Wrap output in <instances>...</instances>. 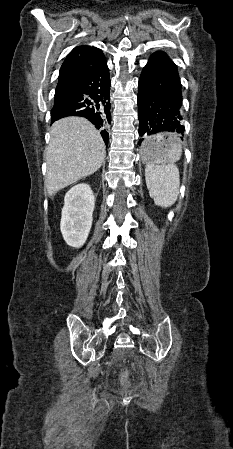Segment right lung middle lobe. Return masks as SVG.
Instances as JSON below:
<instances>
[{"mask_svg": "<svg viewBox=\"0 0 233 449\" xmlns=\"http://www.w3.org/2000/svg\"><path fill=\"white\" fill-rule=\"evenodd\" d=\"M59 96H60V92L56 91L55 98H58Z\"/></svg>", "mask_w": 233, "mask_h": 449, "instance_id": "obj_1", "label": "right lung middle lobe"}]
</instances>
